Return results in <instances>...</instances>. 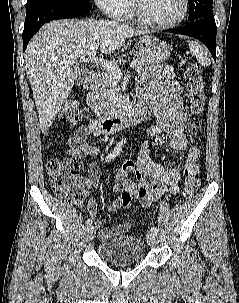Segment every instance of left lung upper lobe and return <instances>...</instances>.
Instances as JSON below:
<instances>
[{"label":"left lung upper lobe","mask_w":239,"mask_h":303,"mask_svg":"<svg viewBox=\"0 0 239 303\" xmlns=\"http://www.w3.org/2000/svg\"><path fill=\"white\" fill-rule=\"evenodd\" d=\"M189 3V22L196 21L201 18L213 17L211 0H188Z\"/></svg>","instance_id":"1"}]
</instances>
